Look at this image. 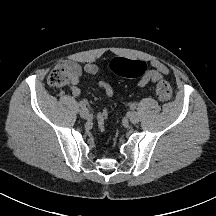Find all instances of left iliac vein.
I'll return each mask as SVG.
<instances>
[{
	"label": "left iliac vein",
	"instance_id": "obj_1",
	"mask_svg": "<svg viewBox=\"0 0 216 216\" xmlns=\"http://www.w3.org/2000/svg\"><path fill=\"white\" fill-rule=\"evenodd\" d=\"M128 118H129V121L132 123V124H136L139 122V116L136 112L132 111L129 113L128 115Z\"/></svg>",
	"mask_w": 216,
	"mask_h": 216
}]
</instances>
